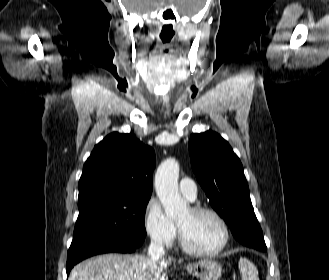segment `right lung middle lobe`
Wrapping results in <instances>:
<instances>
[{"label": "right lung middle lobe", "mask_w": 329, "mask_h": 280, "mask_svg": "<svg viewBox=\"0 0 329 280\" xmlns=\"http://www.w3.org/2000/svg\"><path fill=\"white\" fill-rule=\"evenodd\" d=\"M150 196H119L78 201L79 215L68 256L94 241L140 246L146 236Z\"/></svg>", "instance_id": "right-lung-middle-lobe-1"}]
</instances>
